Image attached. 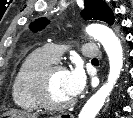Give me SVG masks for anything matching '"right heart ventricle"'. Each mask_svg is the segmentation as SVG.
Returning a JSON list of instances; mask_svg holds the SVG:
<instances>
[{
	"label": "right heart ventricle",
	"mask_w": 133,
	"mask_h": 118,
	"mask_svg": "<svg viewBox=\"0 0 133 118\" xmlns=\"http://www.w3.org/2000/svg\"><path fill=\"white\" fill-rule=\"evenodd\" d=\"M52 63L53 60L43 49L33 51L24 60L12 84V99L18 108L27 112L41 108L36 97V81L40 73Z\"/></svg>",
	"instance_id": "e07e8e85"
}]
</instances>
